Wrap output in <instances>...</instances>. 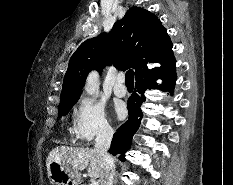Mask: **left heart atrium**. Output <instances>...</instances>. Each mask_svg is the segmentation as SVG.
<instances>
[{
	"label": "left heart atrium",
	"mask_w": 233,
	"mask_h": 185,
	"mask_svg": "<svg viewBox=\"0 0 233 185\" xmlns=\"http://www.w3.org/2000/svg\"><path fill=\"white\" fill-rule=\"evenodd\" d=\"M116 112L119 116H121L124 113V107L122 105H117Z\"/></svg>",
	"instance_id": "39dd6f15"
}]
</instances>
